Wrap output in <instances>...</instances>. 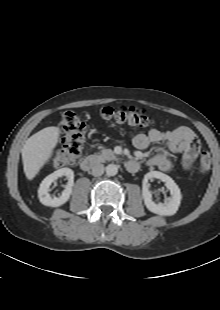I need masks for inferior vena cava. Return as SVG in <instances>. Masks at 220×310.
Segmentation results:
<instances>
[{
    "label": "inferior vena cava",
    "mask_w": 220,
    "mask_h": 310,
    "mask_svg": "<svg viewBox=\"0 0 220 310\" xmlns=\"http://www.w3.org/2000/svg\"><path fill=\"white\" fill-rule=\"evenodd\" d=\"M104 165L97 163L92 167L91 174L95 177L101 176L104 173Z\"/></svg>",
    "instance_id": "obj_1"
}]
</instances>
